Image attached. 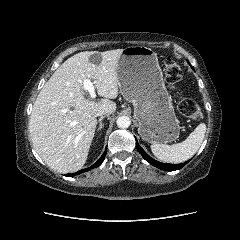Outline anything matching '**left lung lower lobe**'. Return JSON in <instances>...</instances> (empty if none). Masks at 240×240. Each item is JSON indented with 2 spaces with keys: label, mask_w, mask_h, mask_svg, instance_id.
<instances>
[{
  "label": "left lung lower lobe",
  "mask_w": 240,
  "mask_h": 240,
  "mask_svg": "<svg viewBox=\"0 0 240 240\" xmlns=\"http://www.w3.org/2000/svg\"><path fill=\"white\" fill-rule=\"evenodd\" d=\"M193 69V68H192ZM136 147L139 151V153L142 155V157L148 161L150 164H152L153 166L165 170V171H174V170H179L181 169L183 166L186 165V163H181V164H168V163H160L156 160H154L153 158H151L142 148L141 146L136 142Z\"/></svg>",
  "instance_id": "1"
}]
</instances>
